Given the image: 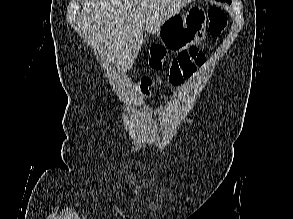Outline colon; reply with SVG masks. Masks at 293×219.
Here are the masks:
<instances>
[{"label": "colon", "mask_w": 293, "mask_h": 219, "mask_svg": "<svg viewBox=\"0 0 293 219\" xmlns=\"http://www.w3.org/2000/svg\"><path fill=\"white\" fill-rule=\"evenodd\" d=\"M208 18L210 34L218 37L227 27L226 14L219 7H210ZM149 55V64L153 69L168 67L169 82L173 85H178L191 77L204 63V56L196 47L185 49L174 58L167 59L165 49L154 45L149 48Z\"/></svg>", "instance_id": "1"}]
</instances>
